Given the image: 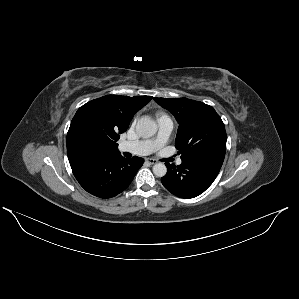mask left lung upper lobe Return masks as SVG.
Wrapping results in <instances>:
<instances>
[{
    "mask_svg": "<svg viewBox=\"0 0 299 299\" xmlns=\"http://www.w3.org/2000/svg\"><path fill=\"white\" fill-rule=\"evenodd\" d=\"M179 123L175 147L181 158L206 152H226L227 135L220 116L212 106L187 98H154Z\"/></svg>",
    "mask_w": 299,
    "mask_h": 299,
    "instance_id": "1",
    "label": "left lung upper lobe"
}]
</instances>
